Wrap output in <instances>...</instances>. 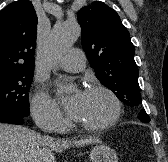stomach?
<instances>
[{"instance_id":"stomach-1","label":"stomach","mask_w":168,"mask_h":162,"mask_svg":"<svg viewBox=\"0 0 168 162\" xmlns=\"http://www.w3.org/2000/svg\"><path fill=\"white\" fill-rule=\"evenodd\" d=\"M92 162H118L113 149L105 145H96L90 152Z\"/></svg>"}]
</instances>
